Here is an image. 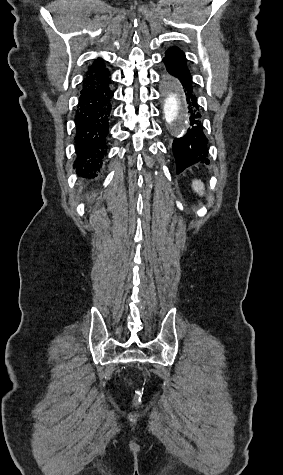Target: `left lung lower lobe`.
<instances>
[{
	"label": "left lung lower lobe",
	"instance_id": "left-lung-lower-lobe-1",
	"mask_svg": "<svg viewBox=\"0 0 283 475\" xmlns=\"http://www.w3.org/2000/svg\"><path fill=\"white\" fill-rule=\"evenodd\" d=\"M163 61L167 71L180 80L190 115V128L187 130V133L182 138H176L172 144L177 164V173H180L192 164L198 162L209 163V141L204 132L195 86L186 65L187 59L172 54L171 51L167 50Z\"/></svg>",
	"mask_w": 283,
	"mask_h": 475
}]
</instances>
